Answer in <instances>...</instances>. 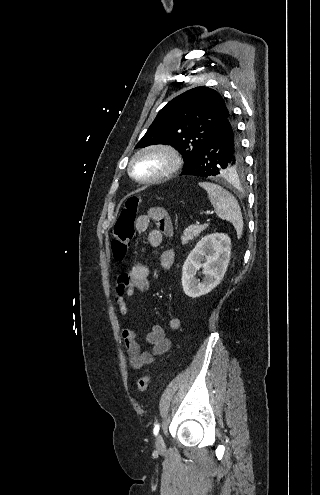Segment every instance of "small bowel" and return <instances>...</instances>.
<instances>
[{"instance_id":"obj_1","label":"small bowel","mask_w":320,"mask_h":495,"mask_svg":"<svg viewBox=\"0 0 320 495\" xmlns=\"http://www.w3.org/2000/svg\"><path fill=\"white\" fill-rule=\"evenodd\" d=\"M153 224L157 226L148 234V242L153 249L158 248L164 236L173 234L172 222L164 209L151 208L148 212L138 217L136 220V229L143 233ZM174 263V253L166 250L161 253L160 264L164 270H170ZM150 284L149 266L137 262L127 273L118 275L116 278L115 301L119 307L121 315H127L129 305L127 298H131L135 293L145 290ZM182 326L180 317H174L169 321V328L178 330ZM125 348L133 368L140 369L144 366L151 365L156 358L169 352L171 349V340L167 338L164 329L157 324L151 326L150 331L146 334L145 340L151 345V350L142 351L139 337L136 332L129 326L121 331Z\"/></svg>"}]
</instances>
